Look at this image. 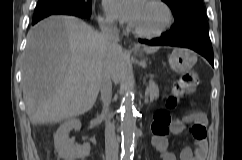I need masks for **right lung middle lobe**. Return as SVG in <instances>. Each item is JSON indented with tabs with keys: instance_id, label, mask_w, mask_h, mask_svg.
I'll return each instance as SVG.
<instances>
[{
	"instance_id": "right-lung-middle-lobe-1",
	"label": "right lung middle lobe",
	"mask_w": 242,
	"mask_h": 160,
	"mask_svg": "<svg viewBox=\"0 0 242 160\" xmlns=\"http://www.w3.org/2000/svg\"><path fill=\"white\" fill-rule=\"evenodd\" d=\"M92 12V0H38L33 20L53 14L87 16Z\"/></svg>"
}]
</instances>
